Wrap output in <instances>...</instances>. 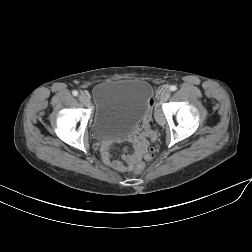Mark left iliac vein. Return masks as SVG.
I'll list each match as a JSON object with an SVG mask.
<instances>
[{
	"instance_id": "left-iliac-vein-1",
	"label": "left iliac vein",
	"mask_w": 252,
	"mask_h": 252,
	"mask_svg": "<svg viewBox=\"0 0 252 252\" xmlns=\"http://www.w3.org/2000/svg\"><path fill=\"white\" fill-rule=\"evenodd\" d=\"M170 95H171V92L168 89H165L161 92L159 98L161 101H166L167 99H169Z\"/></svg>"
}]
</instances>
